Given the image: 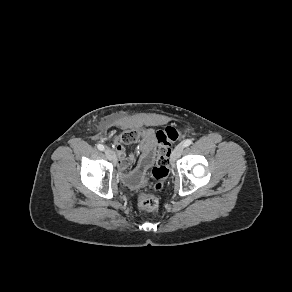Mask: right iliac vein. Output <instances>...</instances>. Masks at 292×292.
<instances>
[{
  "mask_svg": "<svg viewBox=\"0 0 292 292\" xmlns=\"http://www.w3.org/2000/svg\"><path fill=\"white\" fill-rule=\"evenodd\" d=\"M105 154L108 157V159H110L111 161H113V162L116 161V156H115V153L112 149L107 148L105 150Z\"/></svg>",
  "mask_w": 292,
  "mask_h": 292,
  "instance_id": "right-iliac-vein-1",
  "label": "right iliac vein"
}]
</instances>
